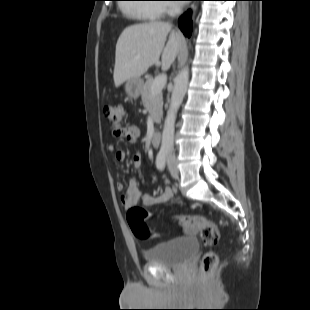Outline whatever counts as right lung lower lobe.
<instances>
[{
    "instance_id": "obj_1",
    "label": "right lung lower lobe",
    "mask_w": 310,
    "mask_h": 310,
    "mask_svg": "<svg viewBox=\"0 0 310 310\" xmlns=\"http://www.w3.org/2000/svg\"><path fill=\"white\" fill-rule=\"evenodd\" d=\"M191 12L188 11L187 13H184L178 20V25L181 31L184 33L185 36H190L191 29H192V22L190 19Z\"/></svg>"
}]
</instances>
